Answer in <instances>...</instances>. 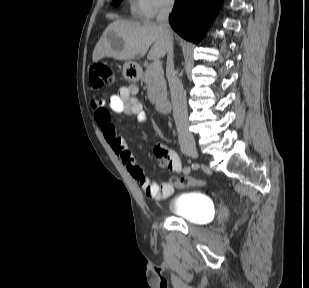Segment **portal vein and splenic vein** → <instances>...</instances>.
<instances>
[{
    "mask_svg": "<svg viewBox=\"0 0 309 288\" xmlns=\"http://www.w3.org/2000/svg\"><path fill=\"white\" fill-rule=\"evenodd\" d=\"M152 68L153 69H160L162 68V63L159 59H155L153 62H152Z\"/></svg>",
    "mask_w": 309,
    "mask_h": 288,
    "instance_id": "portal-vein-and-splenic-vein-1",
    "label": "portal vein and splenic vein"
}]
</instances>
